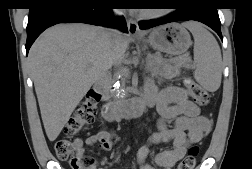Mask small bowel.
<instances>
[{"mask_svg": "<svg viewBox=\"0 0 252 169\" xmlns=\"http://www.w3.org/2000/svg\"><path fill=\"white\" fill-rule=\"evenodd\" d=\"M143 96L151 97L154 100L160 117L157 122L158 131L153 133L147 144L137 152L139 169H154L151 165L145 163V159L150 148L161 142H170L173 144V148L156 153L154 161L162 169H172L186 152L194 144L200 142L211 130V123L200 114L198 106L189 99L184 89L168 87L159 91L154 83H149L143 92ZM171 120L175 121L173 128L167 125ZM110 137L109 131L101 129L90 135L86 139V144L96 150L108 151L114 143ZM82 154H84L83 149ZM92 160V164L87 169H97L94 159Z\"/></svg>", "mask_w": 252, "mask_h": 169, "instance_id": "obj_1", "label": "small bowel"}]
</instances>
